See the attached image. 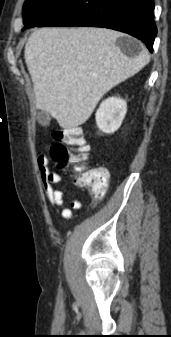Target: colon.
Masks as SVG:
<instances>
[{
	"instance_id": "5ec220e1",
	"label": "colon",
	"mask_w": 171,
	"mask_h": 337,
	"mask_svg": "<svg viewBox=\"0 0 171 337\" xmlns=\"http://www.w3.org/2000/svg\"><path fill=\"white\" fill-rule=\"evenodd\" d=\"M55 143L50 149L52 158L61 166L71 163L80 164L87 159L89 146L82 130L76 127L57 130L53 133ZM69 148L78 151L72 154ZM75 182L90 190L95 201L102 200L109 185L108 173L105 169L84 170L75 179Z\"/></svg>"
}]
</instances>
